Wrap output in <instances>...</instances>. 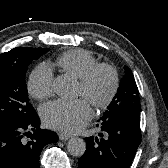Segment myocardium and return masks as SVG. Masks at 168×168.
Instances as JSON below:
<instances>
[{"label": "myocardium", "mask_w": 168, "mask_h": 168, "mask_svg": "<svg viewBox=\"0 0 168 168\" xmlns=\"http://www.w3.org/2000/svg\"><path fill=\"white\" fill-rule=\"evenodd\" d=\"M101 72H105L109 76V89L103 97L94 98L91 96L90 90L95 79ZM79 83L85 91L84 97L88 99L97 110H105L110 106L117 94L119 76L113 65L109 63H97L80 78Z\"/></svg>", "instance_id": "f54148a6"}]
</instances>
